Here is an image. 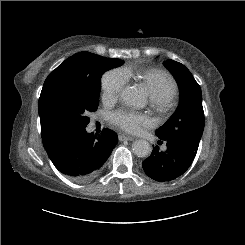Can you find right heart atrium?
<instances>
[{"instance_id": "1", "label": "right heart atrium", "mask_w": 245, "mask_h": 245, "mask_svg": "<svg viewBox=\"0 0 245 245\" xmlns=\"http://www.w3.org/2000/svg\"><path fill=\"white\" fill-rule=\"evenodd\" d=\"M126 75L121 68L107 71L101 79L102 95L104 99H114L122 91L126 84Z\"/></svg>"}]
</instances>
